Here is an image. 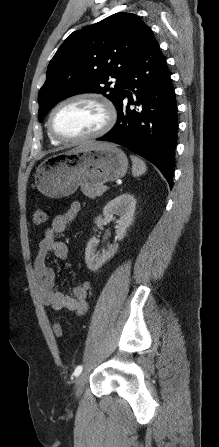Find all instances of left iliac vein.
Returning a JSON list of instances; mask_svg holds the SVG:
<instances>
[{"instance_id":"1","label":"left iliac vein","mask_w":219,"mask_h":447,"mask_svg":"<svg viewBox=\"0 0 219 447\" xmlns=\"http://www.w3.org/2000/svg\"><path fill=\"white\" fill-rule=\"evenodd\" d=\"M86 380H87V374L85 372L78 377L75 386V395L77 398H79L82 395Z\"/></svg>"}]
</instances>
